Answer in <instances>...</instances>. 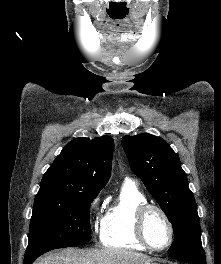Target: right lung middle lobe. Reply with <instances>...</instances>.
I'll list each match as a JSON object with an SVG mask.
<instances>
[{"label":"right lung middle lobe","instance_id":"right-lung-middle-lobe-1","mask_svg":"<svg viewBox=\"0 0 221 264\" xmlns=\"http://www.w3.org/2000/svg\"><path fill=\"white\" fill-rule=\"evenodd\" d=\"M97 194H37L25 258L90 241L89 208Z\"/></svg>","mask_w":221,"mask_h":264}]
</instances>
